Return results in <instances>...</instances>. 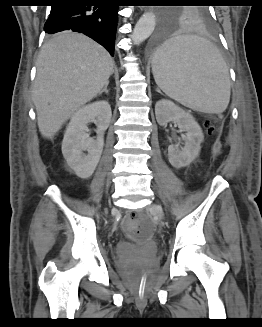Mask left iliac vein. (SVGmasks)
I'll use <instances>...</instances> for the list:
<instances>
[{
	"instance_id": "4c4485c4",
	"label": "left iliac vein",
	"mask_w": 262,
	"mask_h": 327,
	"mask_svg": "<svg viewBox=\"0 0 262 327\" xmlns=\"http://www.w3.org/2000/svg\"><path fill=\"white\" fill-rule=\"evenodd\" d=\"M151 211H153L160 219L164 218V212L160 205L152 204L150 207Z\"/></svg>"
}]
</instances>
